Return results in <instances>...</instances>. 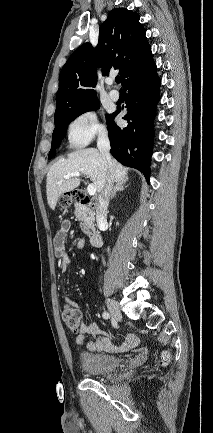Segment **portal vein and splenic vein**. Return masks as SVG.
I'll return each instance as SVG.
<instances>
[{
    "mask_svg": "<svg viewBox=\"0 0 213 433\" xmlns=\"http://www.w3.org/2000/svg\"><path fill=\"white\" fill-rule=\"evenodd\" d=\"M81 175L80 172H72L64 176L65 179H68L70 177H79ZM87 192L90 196H93L96 194V187L93 184H89L87 187Z\"/></svg>",
    "mask_w": 213,
    "mask_h": 433,
    "instance_id": "portal-vein-and-splenic-vein-1",
    "label": "portal vein and splenic vein"
}]
</instances>
